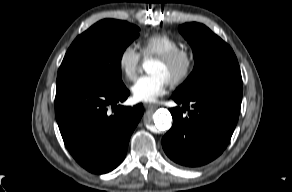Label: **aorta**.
I'll list each match as a JSON object with an SVG mask.
<instances>
[{"label":"aorta","mask_w":292,"mask_h":192,"mask_svg":"<svg viewBox=\"0 0 292 192\" xmlns=\"http://www.w3.org/2000/svg\"><path fill=\"white\" fill-rule=\"evenodd\" d=\"M153 122L158 130L165 131L171 126L172 116L168 110L159 109L153 115Z\"/></svg>","instance_id":"aorta-1"}]
</instances>
